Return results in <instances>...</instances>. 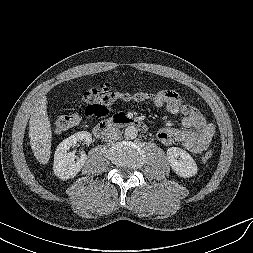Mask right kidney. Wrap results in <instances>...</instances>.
<instances>
[{"instance_id":"1","label":"right kidney","mask_w":253,"mask_h":253,"mask_svg":"<svg viewBox=\"0 0 253 253\" xmlns=\"http://www.w3.org/2000/svg\"><path fill=\"white\" fill-rule=\"evenodd\" d=\"M79 141H84L89 145L92 142V136L86 131L77 132L57 146L54 154L53 170L58 178L62 180L74 178L84 166L87 160L85 154L77 157L73 152H69V149Z\"/></svg>"}]
</instances>
